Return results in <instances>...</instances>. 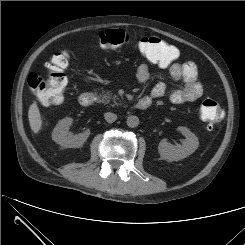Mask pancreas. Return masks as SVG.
<instances>
[{"label": "pancreas", "instance_id": "1", "mask_svg": "<svg viewBox=\"0 0 245 245\" xmlns=\"http://www.w3.org/2000/svg\"><path fill=\"white\" fill-rule=\"evenodd\" d=\"M113 99V102H114V105L118 104L116 102V100H118L117 96H112V94L110 92H103L102 93V99H101V102L104 103V104H108L110 103V100Z\"/></svg>", "mask_w": 245, "mask_h": 245}]
</instances>
